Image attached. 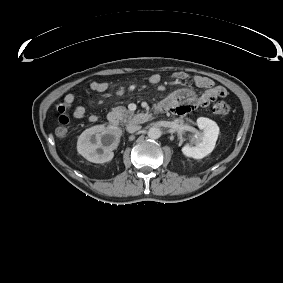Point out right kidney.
Returning a JSON list of instances; mask_svg holds the SVG:
<instances>
[{
  "mask_svg": "<svg viewBox=\"0 0 283 283\" xmlns=\"http://www.w3.org/2000/svg\"><path fill=\"white\" fill-rule=\"evenodd\" d=\"M120 141V133L112 126L96 125L86 129L78 137V153L93 163H105L114 157Z\"/></svg>",
  "mask_w": 283,
  "mask_h": 283,
  "instance_id": "ca27d5eb",
  "label": "right kidney"
}]
</instances>
